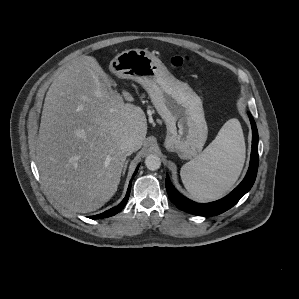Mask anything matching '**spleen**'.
Here are the masks:
<instances>
[{"mask_svg":"<svg viewBox=\"0 0 299 299\" xmlns=\"http://www.w3.org/2000/svg\"><path fill=\"white\" fill-rule=\"evenodd\" d=\"M244 159L242 128L240 122L233 118L222 126L216 138L201 154L182 166V182L198 200L218 199L237 181Z\"/></svg>","mask_w":299,"mask_h":299,"instance_id":"1","label":"spleen"}]
</instances>
